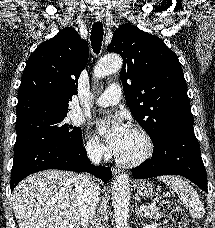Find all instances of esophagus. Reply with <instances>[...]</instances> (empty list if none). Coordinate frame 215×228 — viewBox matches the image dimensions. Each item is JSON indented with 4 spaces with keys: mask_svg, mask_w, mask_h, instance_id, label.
Wrapping results in <instances>:
<instances>
[{
    "mask_svg": "<svg viewBox=\"0 0 215 228\" xmlns=\"http://www.w3.org/2000/svg\"><path fill=\"white\" fill-rule=\"evenodd\" d=\"M95 18L97 20H99V21L102 20L103 19V14H95ZM112 172L114 173V175H117V174L120 173V170H117V168H113Z\"/></svg>",
    "mask_w": 215,
    "mask_h": 228,
    "instance_id": "obj_1",
    "label": "esophagus"
}]
</instances>
